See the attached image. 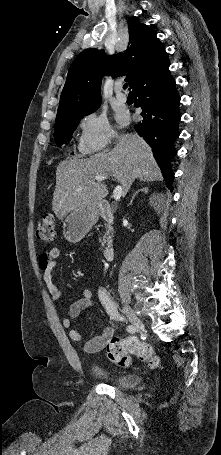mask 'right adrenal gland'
<instances>
[{"instance_id":"1","label":"right adrenal gland","mask_w":221,"mask_h":455,"mask_svg":"<svg viewBox=\"0 0 221 455\" xmlns=\"http://www.w3.org/2000/svg\"><path fill=\"white\" fill-rule=\"evenodd\" d=\"M140 191H142V192H144V193H147V192H148V188H147V187H143L142 189H140L139 191H137L135 194H133L132 199H131V201H130V205H132V203H133V201H134L136 195H137Z\"/></svg>"}]
</instances>
